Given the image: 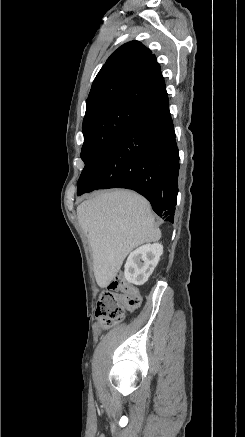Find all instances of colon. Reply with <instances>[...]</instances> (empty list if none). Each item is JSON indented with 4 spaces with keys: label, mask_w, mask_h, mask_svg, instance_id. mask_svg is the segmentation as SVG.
I'll return each mask as SVG.
<instances>
[{
    "label": "colon",
    "mask_w": 245,
    "mask_h": 437,
    "mask_svg": "<svg viewBox=\"0 0 245 437\" xmlns=\"http://www.w3.org/2000/svg\"><path fill=\"white\" fill-rule=\"evenodd\" d=\"M141 304L139 291L122 276L115 277L101 294L96 316L105 328L121 322L126 311H134Z\"/></svg>",
    "instance_id": "colon-1"
}]
</instances>
